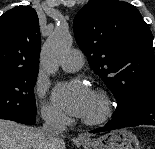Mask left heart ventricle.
Listing matches in <instances>:
<instances>
[{
	"label": "left heart ventricle",
	"instance_id": "left-heart-ventricle-1",
	"mask_svg": "<svg viewBox=\"0 0 155 149\" xmlns=\"http://www.w3.org/2000/svg\"><path fill=\"white\" fill-rule=\"evenodd\" d=\"M99 110H100L99 102L97 100L96 95L93 93L87 111L83 117H93L99 113Z\"/></svg>",
	"mask_w": 155,
	"mask_h": 149
}]
</instances>
